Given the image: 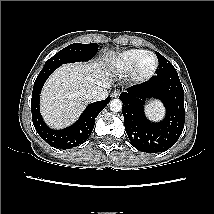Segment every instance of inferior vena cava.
I'll use <instances>...</instances> for the list:
<instances>
[{"label":"inferior vena cava","instance_id":"inferior-vena-cava-1","mask_svg":"<svg viewBox=\"0 0 214 214\" xmlns=\"http://www.w3.org/2000/svg\"><path fill=\"white\" fill-rule=\"evenodd\" d=\"M106 88L109 86L104 85L103 87L92 86L86 91V98L88 101H101L108 97V91Z\"/></svg>","mask_w":214,"mask_h":214}]
</instances>
